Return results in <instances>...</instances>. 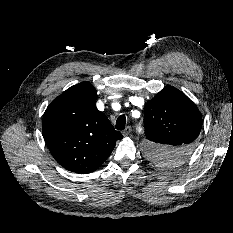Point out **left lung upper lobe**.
Here are the masks:
<instances>
[{"label":"left lung upper lobe","instance_id":"1","mask_svg":"<svg viewBox=\"0 0 233 233\" xmlns=\"http://www.w3.org/2000/svg\"><path fill=\"white\" fill-rule=\"evenodd\" d=\"M147 156L157 164L181 163L195 147L202 117L196 105L180 90L167 86L144 107Z\"/></svg>","mask_w":233,"mask_h":233}]
</instances>
